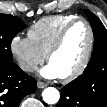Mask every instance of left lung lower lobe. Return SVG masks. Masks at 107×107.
Wrapping results in <instances>:
<instances>
[{"label":"left lung lower lobe","mask_w":107,"mask_h":107,"mask_svg":"<svg viewBox=\"0 0 107 107\" xmlns=\"http://www.w3.org/2000/svg\"><path fill=\"white\" fill-rule=\"evenodd\" d=\"M99 58L91 85L70 82L62 88L56 107H107V64Z\"/></svg>","instance_id":"0a47b994"}]
</instances>
